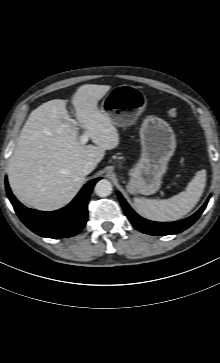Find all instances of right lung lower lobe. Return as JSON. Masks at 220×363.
<instances>
[{
	"mask_svg": "<svg viewBox=\"0 0 220 363\" xmlns=\"http://www.w3.org/2000/svg\"><path fill=\"white\" fill-rule=\"evenodd\" d=\"M89 181L74 200L57 211L43 212L26 208L12 194L7 179V196L21 221L36 234L47 238H65L79 233L87 222V204L95 183Z\"/></svg>",
	"mask_w": 220,
	"mask_h": 363,
	"instance_id": "right-lung-lower-lobe-1",
	"label": "right lung lower lobe"
}]
</instances>
